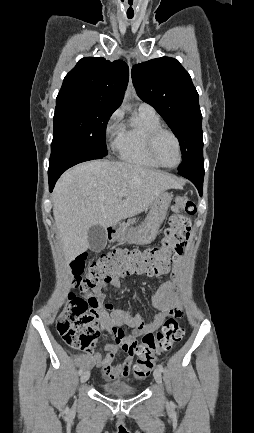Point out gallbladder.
<instances>
[{
    "label": "gallbladder",
    "instance_id": "1",
    "mask_svg": "<svg viewBox=\"0 0 254 433\" xmlns=\"http://www.w3.org/2000/svg\"><path fill=\"white\" fill-rule=\"evenodd\" d=\"M88 242L90 250L94 252L102 251L107 244V235L105 228L94 225L88 230Z\"/></svg>",
    "mask_w": 254,
    "mask_h": 433
}]
</instances>
